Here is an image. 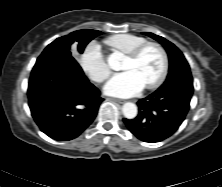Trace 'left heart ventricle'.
I'll list each match as a JSON object with an SVG mask.
<instances>
[{"instance_id": "b2bd125f", "label": "left heart ventricle", "mask_w": 222, "mask_h": 187, "mask_svg": "<svg viewBox=\"0 0 222 187\" xmlns=\"http://www.w3.org/2000/svg\"><path fill=\"white\" fill-rule=\"evenodd\" d=\"M161 68L162 56L154 47L147 48L136 61L125 58L122 65L123 70L133 71L144 86L158 77Z\"/></svg>"}]
</instances>
